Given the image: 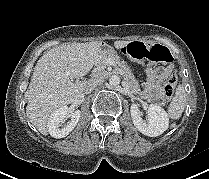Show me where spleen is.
<instances>
[{
	"label": "spleen",
	"mask_w": 209,
	"mask_h": 179,
	"mask_svg": "<svg viewBox=\"0 0 209 179\" xmlns=\"http://www.w3.org/2000/svg\"><path fill=\"white\" fill-rule=\"evenodd\" d=\"M187 95L183 85H179L176 89L175 96L172 99L168 107V116L171 119L177 120L181 117L185 105H186Z\"/></svg>",
	"instance_id": "1"
}]
</instances>
